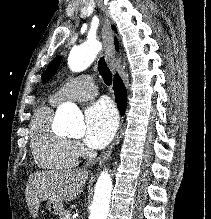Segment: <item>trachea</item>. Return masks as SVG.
Masks as SVG:
<instances>
[{
  "label": "trachea",
  "instance_id": "trachea-1",
  "mask_svg": "<svg viewBox=\"0 0 211 219\" xmlns=\"http://www.w3.org/2000/svg\"><path fill=\"white\" fill-rule=\"evenodd\" d=\"M98 71L99 74L102 76L104 82L106 85H111L112 83V74L109 68L107 67V64L105 62L104 57H101L98 62Z\"/></svg>",
  "mask_w": 211,
  "mask_h": 219
}]
</instances>
